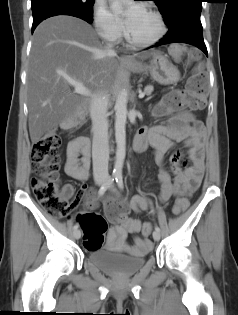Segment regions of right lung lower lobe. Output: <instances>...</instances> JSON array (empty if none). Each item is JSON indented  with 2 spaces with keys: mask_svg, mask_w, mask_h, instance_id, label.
<instances>
[{
  "mask_svg": "<svg viewBox=\"0 0 238 315\" xmlns=\"http://www.w3.org/2000/svg\"><path fill=\"white\" fill-rule=\"evenodd\" d=\"M32 14H33L32 33L39 23H41L43 20L49 17L56 15H70L81 18L87 21L88 23L93 22V13H88L79 8L59 3H46L36 5L32 7Z\"/></svg>",
  "mask_w": 238,
  "mask_h": 315,
  "instance_id": "right-lung-lower-lobe-1",
  "label": "right lung lower lobe"
}]
</instances>
